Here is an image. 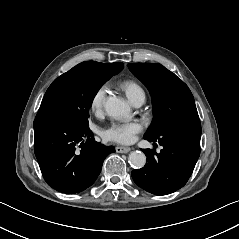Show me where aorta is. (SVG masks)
<instances>
[{"mask_svg":"<svg viewBox=\"0 0 239 239\" xmlns=\"http://www.w3.org/2000/svg\"><path fill=\"white\" fill-rule=\"evenodd\" d=\"M107 114L115 119H128L131 117L130 105L117 97H108L105 103ZM129 161L135 168H142L146 163V156L141 151H133L129 155Z\"/></svg>","mask_w":239,"mask_h":239,"instance_id":"1","label":"aorta"}]
</instances>
